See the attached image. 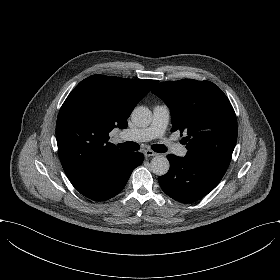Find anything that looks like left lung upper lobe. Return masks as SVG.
<instances>
[{
  "mask_svg": "<svg viewBox=\"0 0 280 280\" xmlns=\"http://www.w3.org/2000/svg\"><path fill=\"white\" fill-rule=\"evenodd\" d=\"M152 92L171 110L172 129L185 132L187 156L229 165L237 141V120L227 96L210 81L159 83Z\"/></svg>",
  "mask_w": 280,
  "mask_h": 280,
  "instance_id": "left-lung-upper-lobe-1",
  "label": "left lung upper lobe"
}]
</instances>
